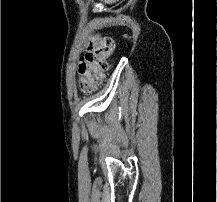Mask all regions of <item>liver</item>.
Listing matches in <instances>:
<instances>
[{
	"mask_svg": "<svg viewBox=\"0 0 217 202\" xmlns=\"http://www.w3.org/2000/svg\"><path fill=\"white\" fill-rule=\"evenodd\" d=\"M102 2H105V4H116L119 0H102Z\"/></svg>",
	"mask_w": 217,
	"mask_h": 202,
	"instance_id": "6515ba94",
	"label": "liver"
}]
</instances>
